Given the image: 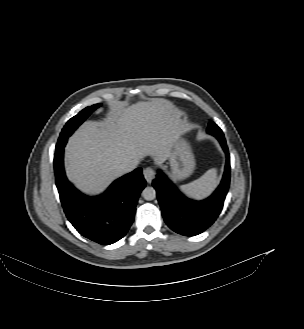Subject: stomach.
Masks as SVG:
<instances>
[{"label":"stomach","mask_w":304,"mask_h":329,"mask_svg":"<svg viewBox=\"0 0 304 329\" xmlns=\"http://www.w3.org/2000/svg\"><path fill=\"white\" fill-rule=\"evenodd\" d=\"M171 174L175 180H182L192 174L195 168L194 156L190 146L184 141L176 142L170 156Z\"/></svg>","instance_id":"stomach-1"}]
</instances>
